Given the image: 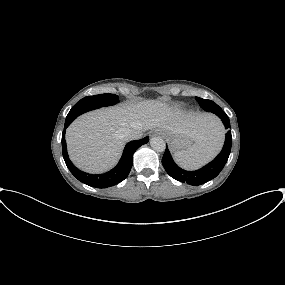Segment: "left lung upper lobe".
Masks as SVG:
<instances>
[{"label":"left lung upper lobe","mask_w":285,"mask_h":285,"mask_svg":"<svg viewBox=\"0 0 285 285\" xmlns=\"http://www.w3.org/2000/svg\"><path fill=\"white\" fill-rule=\"evenodd\" d=\"M195 99L198 101L200 107L207 112H214L215 110L221 109L215 102L211 100L202 99L199 97H196Z\"/></svg>","instance_id":"5c2ea615"}]
</instances>
